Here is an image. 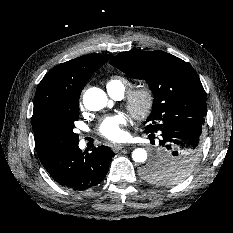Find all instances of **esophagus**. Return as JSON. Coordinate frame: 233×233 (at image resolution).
<instances>
[{
	"mask_svg": "<svg viewBox=\"0 0 233 233\" xmlns=\"http://www.w3.org/2000/svg\"><path fill=\"white\" fill-rule=\"evenodd\" d=\"M123 147H124L123 144H113V145H112V150H113L114 152H118V151H120Z\"/></svg>",
	"mask_w": 233,
	"mask_h": 233,
	"instance_id": "esophagus-1",
	"label": "esophagus"
}]
</instances>
